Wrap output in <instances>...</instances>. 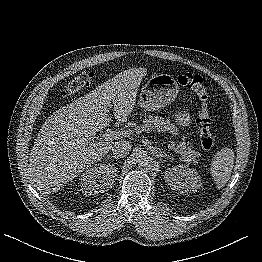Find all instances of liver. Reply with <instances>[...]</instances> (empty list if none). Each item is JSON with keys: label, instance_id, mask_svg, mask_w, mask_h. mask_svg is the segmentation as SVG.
<instances>
[{"label": "liver", "instance_id": "6515ba94", "mask_svg": "<svg viewBox=\"0 0 262 262\" xmlns=\"http://www.w3.org/2000/svg\"><path fill=\"white\" fill-rule=\"evenodd\" d=\"M145 68H131L60 108L41 127L29 157L28 178L40 193L56 192L87 167L101 160L113 142L94 140L114 117L123 123L131 114Z\"/></svg>", "mask_w": 262, "mask_h": 262}]
</instances>
